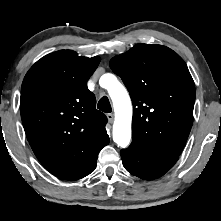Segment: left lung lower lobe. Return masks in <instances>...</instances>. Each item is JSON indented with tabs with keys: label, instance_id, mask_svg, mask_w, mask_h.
<instances>
[{
	"label": "left lung lower lobe",
	"instance_id": "left-lung-lower-lobe-1",
	"mask_svg": "<svg viewBox=\"0 0 221 221\" xmlns=\"http://www.w3.org/2000/svg\"><path fill=\"white\" fill-rule=\"evenodd\" d=\"M123 165L128 172L145 180L164 175L177 162L179 156L152 152L136 142L121 150Z\"/></svg>",
	"mask_w": 221,
	"mask_h": 221
}]
</instances>
